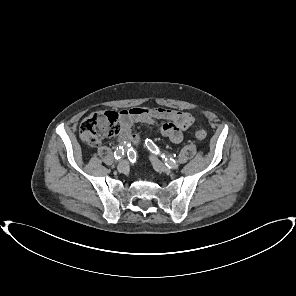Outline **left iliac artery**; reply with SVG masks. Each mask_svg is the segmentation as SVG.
<instances>
[{"label": "left iliac artery", "instance_id": "1", "mask_svg": "<svg viewBox=\"0 0 296 296\" xmlns=\"http://www.w3.org/2000/svg\"><path fill=\"white\" fill-rule=\"evenodd\" d=\"M145 144L147 146V148L154 154L159 155L160 157H162L165 160V164L169 167V168H178V163L172 159V158H167L165 157L164 154H161V151L159 150V148L150 140V139H146Z\"/></svg>", "mask_w": 296, "mask_h": 296}]
</instances>
